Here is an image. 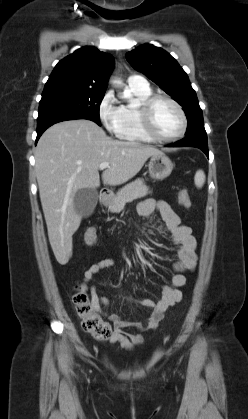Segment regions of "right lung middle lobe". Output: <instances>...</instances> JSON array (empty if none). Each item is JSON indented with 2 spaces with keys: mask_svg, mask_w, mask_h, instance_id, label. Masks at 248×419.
Masks as SVG:
<instances>
[{
  "mask_svg": "<svg viewBox=\"0 0 248 419\" xmlns=\"http://www.w3.org/2000/svg\"><path fill=\"white\" fill-rule=\"evenodd\" d=\"M105 92L83 88H44L39 104V117L62 112L81 113L100 125L99 108Z\"/></svg>",
  "mask_w": 248,
  "mask_h": 419,
  "instance_id": "dd1d6c3e",
  "label": "right lung middle lobe"
}]
</instances>
